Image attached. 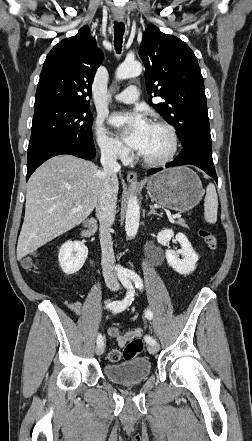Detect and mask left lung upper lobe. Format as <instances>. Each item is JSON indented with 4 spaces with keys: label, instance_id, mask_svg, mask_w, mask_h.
<instances>
[{
    "label": "left lung upper lobe",
    "instance_id": "5c2ea615",
    "mask_svg": "<svg viewBox=\"0 0 252 441\" xmlns=\"http://www.w3.org/2000/svg\"><path fill=\"white\" fill-rule=\"evenodd\" d=\"M139 55L146 69L149 96L165 100L153 107L174 125L182 145L197 137L211 139L203 77L189 46L150 24L144 32Z\"/></svg>",
    "mask_w": 252,
    "mask_h": 441
}]
</instances>
